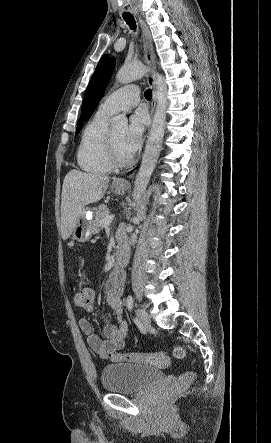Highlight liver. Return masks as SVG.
Here are the masks:
<instances>
[{"label": "liver", "instance_id": "obj_1", "mask_svg": "<svg viewBox=\"0 0 271 443\" xmlns=\"http://www.w3.org/2000/svg\"><path fill=\"white\" fill-rule=\"evenodd\" d=\"M108 176L84 174L71 170L64 178L61 198V235L70 237L75 223L84 212L85 206L102 200L108 186Z\"/></svg>", "mask_w": 271, "mask_h": 443}]
</instances>
